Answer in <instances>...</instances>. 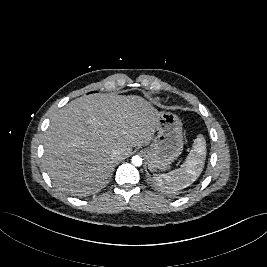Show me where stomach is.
<instances>
[{
	"label": "stomach",
	"instance_id": "1",
	"mask_svg": "<svg viewBox=\"0 0 267 267\" xmlns=\"http://www.w3.org/2000/svg\"><path fill=\"white\" fill-rule=\"evenodd\" d=\"M157 135L150 149L144 151L151 171L167 168L183 150L181 120L169 111H160L156 117Z\"/></svg>",
	"mask_w": 267,
	"mask_h": 267
}]
</instances>
